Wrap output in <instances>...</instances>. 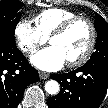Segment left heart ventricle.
Wrapping results in <instances>:
<instances>
[{
    "label": "left heart ventricle",
    "mask_w": 108,
    "mask_h": 108,
    "mask_svg": "<svg viewBox=\"0 0 108 108\" xmlns=\"http://www.w3.org/2000/svg\"><path fill=\"white\" fill-rule=\"evenodd\" d=\"M89 39L88 26L83 22H78L64 35L51 39L50 44L59 48L67 62L79 57L85 51Z\"/></svg>",
    "instance_id": "obj_1"
}]
</instances>
